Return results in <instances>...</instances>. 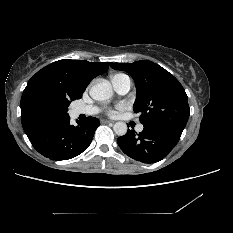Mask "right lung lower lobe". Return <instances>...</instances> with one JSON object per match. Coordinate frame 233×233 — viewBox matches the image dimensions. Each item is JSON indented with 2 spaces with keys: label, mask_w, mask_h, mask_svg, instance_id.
<instances>
[{
  "label": "right lung lower lobe",
  "mask_w": 233,
  "mask_h": 233,
  "mask_svg": "<svg viewBox=\"0 0 233 233\" xmlns=\"http://www.w3.org/2000/svg\"><path fill=\"white\" fill-rule=\"evenodd\" d=\"M77 124L70 125L69 117L29 137V140L43 156L56 161L68 160L89 147L100 122L95 117H87Z\"/></svg>",
  "instance_id": "right-lung-lower-lobe-1"
}]
</instances>
